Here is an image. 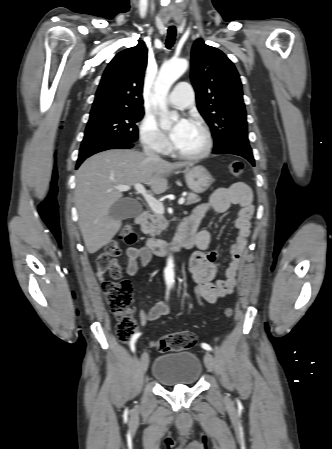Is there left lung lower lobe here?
<instances>
[{
    "instance_id": "left-lung-lower-lobe-1",
    "label": "left lung lower lobe",
    "mask_w": 332,
    "mask_h": 449,
    "mask_svg": "<svg viewBox=\"0 0 332 449\" xmlns=\"http://www.w3.org/2000/svg\"><path fill=\"white\" fill-rule=\"evenodd\" d=\"M214 154H234L247 159L253 166L255 165L252 149L249 145L231 144L220 149H214Z\"/></svg>"
}]
</instances>
